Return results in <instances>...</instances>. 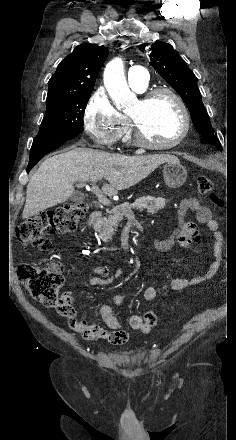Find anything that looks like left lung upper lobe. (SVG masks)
<instances>
[{
	"mask_svg": "<svg viewBox=\"0 0 236 440\" xmlns=\"http://www.w3.org/2000/svg\"><path fill=\"white\" fill-rule=\"evenodd\" d=\"M140 51L147 52L152 67L177 91L187 105L196 130L204 137L213 135L209 116L202 103L201 93L194 73L173 47L164 42L142 44Z\"/></svg>",
	"mask_w": 236,
	"mask_h": 440,
	"instance_id": "1",
	"label": "left lung upper lobe"
}]
</instances>
